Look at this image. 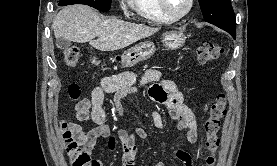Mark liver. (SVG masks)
Returning a JSON list of instances; mask_svg holds the SVG:
<instances>
[{
    "mask_svg": "<svg viewBox=\"0 0 277 166\" xmlns=\"http://www.w3.org/2000/svg\"><path fill=\"white\" fill-rule=\"evenodd\" d=\"M52 29L56 39L77 43L89 42L100 51H115L157 33L159 27L126 22L117 18L103 19L91 7L69 5L55 16ZM95 37H98L94 40Z\"/></svg>",
    "mask_w": 277,
    "mask_h": 166,
    "instance_id": "liver-1",
    "label": "liver"
}]
</instances>
